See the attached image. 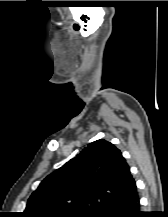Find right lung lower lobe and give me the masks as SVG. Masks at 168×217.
Listing matches in <instances>:
<instances>
[{
  "label": "right lung lower lobe",
  "instance_id": "1",
  "mask_svg": "<svg viewBox=\"0 0 168 217\" xmlns=\"http://www.w3.org/2000/svg\"><path fill=\"white\" fill-rule=\"evenodd\" d=\"M96 217H144L140 212L137 190L124 199L110 203Z\"/></svg>",
  "mask_w": 168,
  "mask_h": 217
}]
</instances>
